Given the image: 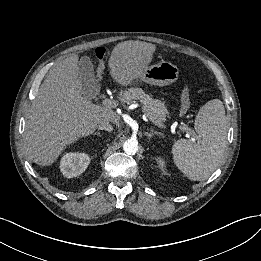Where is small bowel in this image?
I'll return each instance as SVG.
<instances>
[{
	"label": "small bowel",
	"mask_w": 261,
	"mask_h": 261,
	"mask_svg": "<svg viewBox=\"0 0 261 261\" xmlns=\"http://www.w3.org/2000/svg\"><path fill=\"white\" fill-rule=\"evenodd\" d=\"M180 102H181V107L183 109L182 114H184L187 112V110L190 107V97L189 94L186 92V90H183L181 94Z\"/></svg>",
	"instance_id": "c3829d8e"
}]
</instances>
